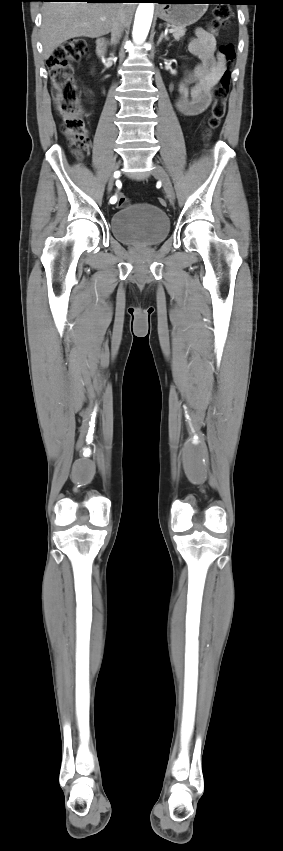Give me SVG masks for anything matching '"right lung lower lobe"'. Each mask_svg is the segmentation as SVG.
Instances as JSON below:
<instances>
[{"instance_id": "obj_1", "label": "right lung lower lobe", "mask_w": 283, "mask_h": 851, "mask_svg": "<svg viewBox=\"0 0 283 851\" xmlns=\"http://www.w3.org/2000/svg\"><path fill=\"white\" fill-rule=\"evenodd\" d=\"M42 1H85V2H138L139 0H42Z\"/></svg>"}]
</instances>
